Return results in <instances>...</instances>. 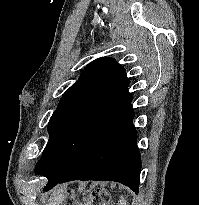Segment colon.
Segmentation results:
<instances>
[{
	"label": "colon",
	"mask_w": 199,
	"mask_h": 205,
	"mask_svg": "<svg viewBox=\"0 0 199 205\" xmlns=\"http://www.w3.org/2000/svg\"><path fill=\"white\" fill-rule=\"evenodd\" d=\"M68 193L70 194L71 191H68ZM90 198L101 204L106 200V193L103 189H97L91 192Z\"/></svg>",
	"instance_id": "obj_1"
}]
</instances>
